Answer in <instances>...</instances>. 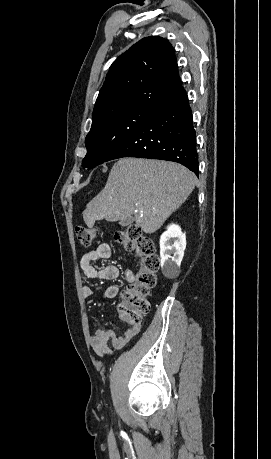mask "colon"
<instances>
[{
    "mask_svg": "<svg viewBox=\"0 0 271 459\" xmlns=\"http://www.w3.org/2000/svg\"><path fill=\"white\" fill-rule=\"evenodd\" d=\"M97 230L92 227L78 226L75 237L83 247H89L97 238ZM115 242L125 251L134 252L140 257V268L135 281L122 292L119 313L129 324H140L150 310L149 294L156 284V275L160 259L153 241L145 236L136 225H130L115 235Z\"/></svg>",
    "mask_w": 271,
    "mask_h": 459,
    "instance_id": "5ec220e1",
    "label": "colon"
}]
</instances>
